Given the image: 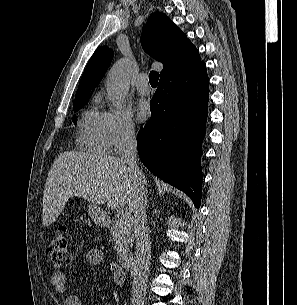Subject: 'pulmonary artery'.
<instances>
[{
	"label": "pulmonary artery",
	"instance_id": "obj_1",
	"mask_svg": "<svg viewBox=\"0 0 297 305\" xmlns=\"http://www.w3.org/2000/svg\"><path fill=\"white\" fill-rule=\"evenodd\" d=\"M136 89L141 95H149L151 93V87L148 85V75L140 74L136 81Z\"/></svg>",
	"mask_w": 297,
	"mask_h": 305
}]
</instances>
